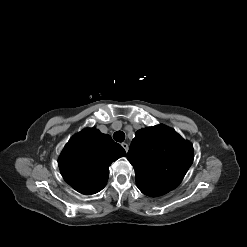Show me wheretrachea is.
Instances as JSON below:
<instances>
[{
    "label": "trachea",
    "instance_id": "obj_1",
    "mask_svg": "<svg viewBox=\"0 0 247 247\" xmlns=\"http://www.w3.org/2000/svg\"><path fill=\"white\" fill-rule=\"evenodd\" d=\"M113 138L117 142H123L125 139V134L122 131H117L113 134Z\"/></svg>",
    "mask_w": 247,
    "mask_h": 247
}]
</instances>
